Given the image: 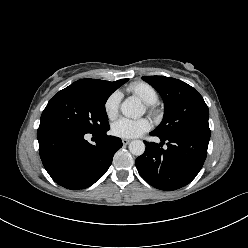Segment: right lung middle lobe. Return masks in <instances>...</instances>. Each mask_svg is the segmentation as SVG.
I'll return each instance as SVG.
<instances>
[{"label":"right lung middle lobe","instance_id":"1","mask_svg":"<svg viewBox=\"0 0 248 248\" xmlns=\"http://www.w3.org/2000/svg\"><path fill=\"white\" fill-rule=\"evenodd\" d=\"M115 90L94 91L70 85L48 102L40 126L60 125L84 133L105 131L109 129L105 103Z\"/></svg>","mask_w":248,"mask_h":248}]
</instances>
